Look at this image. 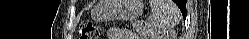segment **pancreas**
<instances>
[{
	"instance_id": "pancreas-1",
	"label": "pancreas",
	"mask_w": 249,
	"mask_h": 39,
	"mask_svg": "<svg viewBox=\"0 0 249 39\" xmlns=\"http://www.w3.org/2000/svg\"><path fill=\"white\" fill-rule=\"evenodd\" d=\"M133 28L141 35V36H149V29L143 27L141 24H133Z\"/></svg>"
}]
</instances>
